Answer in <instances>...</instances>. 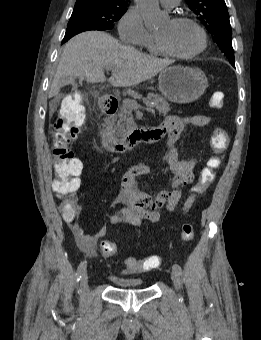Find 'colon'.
<instances>
[{
    "mask_svg": "<svg viewBox=\"0 0 261 340\" xmlns=\"http://www.w3.org/2000/svg\"><path fill=\"white\" fill-rule=\"evenodd\" d=\"M224 94L215 92L209 100L212 108L221 109L224 107ZM86 119V109L83 102L74 97L67 98L62 106L61 116L54 125L53 133V174L52 190L59 198H64L61 204L62 215L72 216L76 212L75 191L80 186L79 175L82 170L81 162L74 157L69 145L74 140L83 126ZM229 137L222 128H216L210 139V144L214 152H223L228 145ZM220 161L211 158L208 165L202 169L200 178L192 193L199 195L214 182L216 178L215 170L219 167ZM189 211V208H184ZM194 236L193 226L184 223L181 227V238L183 241H190ZM102 254L105 257H113L117 252V247L113 242L103 241L100 245ZM162 258L159 255H151L141 259L128 257L125 260L126 271H148L160 266Z\"/></svg>",
    "mask_w": 261,
    "mask_h": 340,
    "instance_id": "5ec220e1",
    "label": "colon"
}]
</instances>
